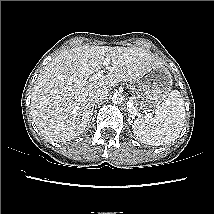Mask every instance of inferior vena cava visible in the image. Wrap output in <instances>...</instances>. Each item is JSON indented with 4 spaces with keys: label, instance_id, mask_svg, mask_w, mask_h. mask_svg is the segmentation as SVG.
<instances>
[{
    "label": "inferior vena cava",
    "instance_id": "inferior-vena-cava-1",
    "mask_svg": "<svg viewBox=\"0 0 214 214\" xmlns=\"http://www.w3.org/2000/svg\"><path fill=\"white\" fill-rule=\"evenodd\" d=\"M107 94L108 91L106 89H98L91 94L90 100L93 104L101 102L107 97Z\"/></svg>",
    "mask_w": 214,
    "mask_h": 214
}]
</instances>
